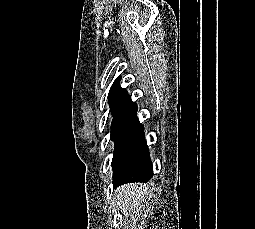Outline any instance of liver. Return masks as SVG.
I'll return each instance as SVG.
<instances>
[{
	"label": "liver",
	"mask_w": 255,
	"mask_h": 229,
	"mask_svg": "<svg viewBox=\"0 0 255 229\" xmlns=\"http://www.w3.org/2000/svg\"><path fill=\"white\" fill-rule=\"evenodd\" d=\"M148 187L143 184H127L115 190V200L123 214L137 209L147 196Z\"/></svg>",
	"instance_id": "6515ba94"
}]
</instances>
